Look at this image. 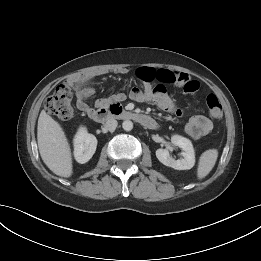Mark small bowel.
<instances>
[{
    "instance_id": "c3829d8e",
    "label": "small bowel",
    "mask_w": 261,
    "mask_h": 261,
    "mask_svg": "<svg viewBox=\"0 0 261 261\" xmlns=\"http://www.w3.org/2000/svg\"><path fill=\"white\" fill-rule=\"evenodd\" d=\"M117 74H125V69L114 71ZM99 73L90 71L82 75L76 76L71 80V85L74 88L76 95L77 107L90 115L93 109L87 103V100L94 94V89L91 86L92 80ZM138 76L144 81L143 88L134 87L130 92V97L138 102L152 101L161 109L182 114L171 98L165 91L162 84H174L183 89L186 94H194L199 89V82L192 79L188 74L173 72L169 70L154 71L151 68H140L137 72ZM156 79L161 85L153 86L151 81ZM116 101L124 100L123 94H116L113 98ZM105 102V99H100L99 104ZM212 122L203 115H196L189 119L185 125V133L193 139H200L210 134L212 131Z\"/></svg>"
}]
</instances>
